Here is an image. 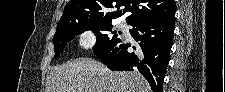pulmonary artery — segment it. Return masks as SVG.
<instances>
[{"mask_svg":"<svg viewBox=\"0 0 225 92\" xmlns=\"http://www.w3.org/2000/svg\"><path fill=\"white\" fill-rule=\"evenodd\" d=\"M121 26H122L123 28H125V27H126V24L123 22V23H121Z\"/></svg>","mask_w":225,"mask_h":92,"instance_id":"pulmonary-artery-1","label":"pulmonary artery"}]
</instances>
